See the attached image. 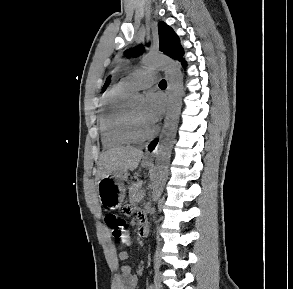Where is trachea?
Listing matches in <instances>:
<instances>
[{
  "mask_svg": "<svg viewBox=\"0 0 293 289\" xmlns=\"http://www.w3.org/2000/svg\"><path fill=\"white\" fill-rule=\"evenodd\" d=\"M159 86H167V82L163 79L160 81Z\"/></svg>",
  "mask_w": 293,
  "mask_h": 289,
  "instance_id": "trachea-1",
  "label": "trachea"
}]
</instances>
